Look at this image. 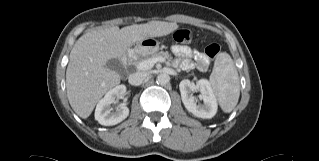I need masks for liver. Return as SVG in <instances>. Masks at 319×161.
<instances>
[{
  "label": "liver",
  "mask_w": 319,
  "mask_h": 161,
  "mask_svg": "<svg viewBox=\"0 0 319 161\" xmlns=\"http://www.w3.org/2000/svg\"><path fill=\"white\" fill-rule=\"evenodd\" d=\"M173 22L150 21L119 29L98 28L74 44L66 70V90L75 113L86 119L99 99L120 83L119 74L106 67L111 59L122 58L127 50L146 38L165 36L178 28Z\"/></svg>",
  "instance_id": "6515ba94"
}]
</instances>
